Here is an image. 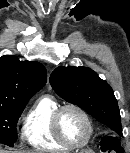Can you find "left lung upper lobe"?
I'll return each instance as SVG.
<instances>
[{
  "mask_svg": "<svg viewBox=\"0 0 130 153\" xmlns=\"http://www.w3.org/2000/svg\"><path fill=\"white\" fill-rule=\"evenodd\" d=\"M55 92L122 136L120 112L112 88L87 67H58L50 76Z\"/></svg>",
  "mask_w": 130,
  "mask_h": 153,
  "instance_id": "left-lung-upper-lobe-1",
  "label": "left lung upper lobe"
}]
</instances>
